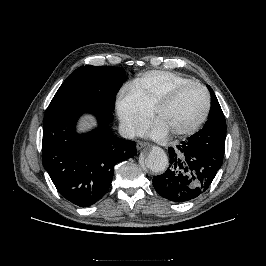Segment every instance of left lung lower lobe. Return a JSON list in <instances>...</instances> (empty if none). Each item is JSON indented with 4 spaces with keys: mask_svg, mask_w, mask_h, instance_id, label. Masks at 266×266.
<instances>
[{
    "mask_svg": "<svg viewBox=\"0 0 266 266\" xmlns=\"http://www.w3.org/2000/svg\"><path fill=\"white\" fill-rule=\"evenodd\" d=\"M169 167L162 175L153 177L157 193L174 202L192 200L208 189L223 159L182 142L168 148Z\"/></svg>",
    "mask_w": 266,
    "mask_h": 266,
    "instance_id": "left-lung-lower-lobe-1",
    "label": "left lung lower lobe"
}]
</instances>
